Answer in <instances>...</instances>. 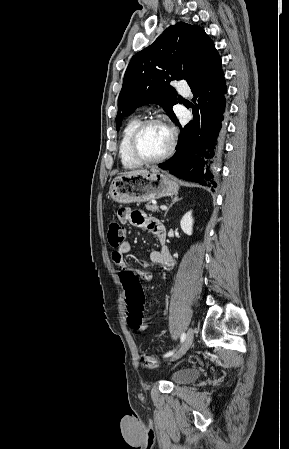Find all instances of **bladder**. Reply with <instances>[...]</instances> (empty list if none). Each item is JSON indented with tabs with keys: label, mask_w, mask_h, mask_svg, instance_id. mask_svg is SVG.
Masks as SVG:
<instances>
[{
	"label": "bladder",
	"mask_w": 289,
	"mask_h": 449,
	"mask_svg": "<svg viewBox=\"0 0 289 449\" xmlns=\"http://www.w3.org/2000/svg\"><path fill=\"white\" fill-rule=\"evenodd\" d=\"M200 376V371L198 369L193 368H184L177 370L172 375V381L174 384H186Z\"/></svg>",
	"instance_id": "bladder-1"
}]
</instances>
